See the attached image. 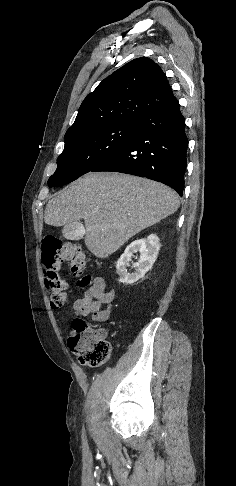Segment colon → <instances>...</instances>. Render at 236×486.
Here are the masks:
<instances>
[{"instance_id": "obj_1", "label": "colon", "mask_w": 236, "mask_h": 486, "mask_svg": "<svg viewBox=\"0 0 236 486\" xmlns=\"http://www.w3.org/2000/svg\"><path fill=\"white\" fill-rule=\"evenodd\" d=\"M69 263L73 275H77L78 286L85 288L91 283V276L85 274L86 256L76 244H62L54 237L46 238L42 245L44 283L49 293L52 308L59 309L66 302L67 284L59 275L63 263ZM70 350L82 364L98 367L110 357L111 347L99 330L89 327L82 316H77L71 324L68 338Z\"/></svg>"}]
</instances>
